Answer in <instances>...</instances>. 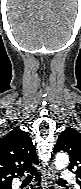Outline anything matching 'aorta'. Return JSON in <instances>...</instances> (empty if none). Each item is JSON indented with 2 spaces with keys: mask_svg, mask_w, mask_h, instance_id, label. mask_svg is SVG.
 Masks as SVG:
<instances>
[{
  "mask_svg": "<svg viewBox=\"0 0 81 189\" xmlns=\"http://www.w3.org/2000/svg\"><path fill=\"white\" fill-rule=\"evenodd\" d=\"M69 163V157L65 153H58L55 157V166L57 169L65 168Z\"/></svg>",
  "mask_w": 81,
  "mask_h": 189,
  "instance_id": "obj_1",
  "label": "aorta"
}]
</instances>
